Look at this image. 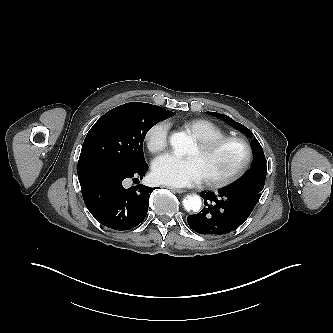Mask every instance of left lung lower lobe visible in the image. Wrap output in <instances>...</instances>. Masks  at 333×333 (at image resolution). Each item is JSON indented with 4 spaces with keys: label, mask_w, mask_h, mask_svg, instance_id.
Segmentation results:
<instances>
[{
    "label": "left lung lower lobe",
    "mask_w": 333,
    "mask_h": 333,
    "mask_svg": "<svg viewBox=\"0 0 333 333\" xmlns=\"http://www.w3.org/2000/svg\"><path fill=\"white\" fill-rule=\"evenodd\" d=\"M206 207L195 215H189L187 222L197 233L218 236L229 233L249 217L260 197L256 195L222 188L218 193L200 194Z\"/></svg>",
    "instance_id": "0a47b994"
}]
</instances>
